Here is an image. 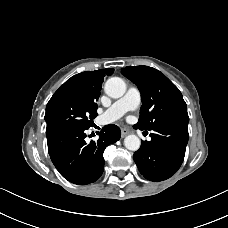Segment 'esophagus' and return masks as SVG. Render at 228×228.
Masks as SVG:
<instances>
[{
	"mask_svg": "<svg viewBox=\"0 0 228 228\" xmlns=\"http://www.w3.org/2000/svg\"><path fill=\"white\" fill-rule=\"evenodd\" d=\"M128 134H129V130L128 129H126V128H122L121 129V136L122 137H125Z\"/></svg>",
	"mask_w": 228,
	"mask_h": 228,
	"instance_id": "34e87169",
	"label": "esophagus"
}]
</instances>
